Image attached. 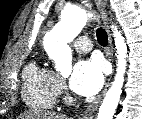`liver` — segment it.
Wrapping results in <instances>:
<instances>
[{
	"mask_svg": "<svg viewBox=\"0 0 142 119\" xmlns=\"http://www.w3.org/2000/svg\"><path fill=\"white\" fill-rule=\"evenodd\" d=\"M21 119H69L65 115H58L49 112L29 111L20 116Z\"/></svg>",
	"mask_w": 142,
	"mask_h": 119,
	"instance_id": "obj_1",
	"label": "liver"
}]
</instances>
